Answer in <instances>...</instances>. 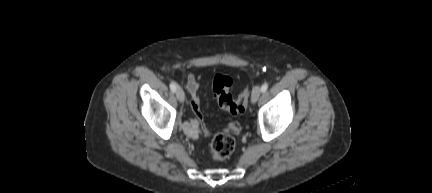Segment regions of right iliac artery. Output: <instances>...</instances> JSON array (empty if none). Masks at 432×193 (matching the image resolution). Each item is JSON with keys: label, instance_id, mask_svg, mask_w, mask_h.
Wrapping results in <instances>:
<instances>
[{"label": "right iliac artery", "instance_id": "1", "mask_svg": "<svg viewBox=\"0 0 432 193\" xmlns=\"http://www.w3.org/2000/svg\"><path fill=\"white\" fill-rule=\"evenodd\" d=\"M170 89H171L172 92L176 91V84L174 82L170 83Z\"/></svg>", "mask_w": 432, "mask_h": 193}]
</instances>
